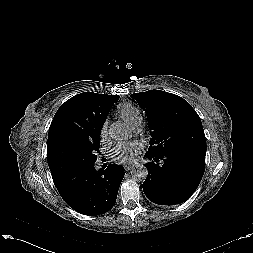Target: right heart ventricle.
<instances>
[{
  "label": "right heart ventricle",
  "mask_w": 253,
  "mask_h": 253,
  "mask_svg": "<svg viewBox=\"0 0 253 253\" xmlns=\"http://www.w3.org/2000/svg\"><path fill=\"white\" fill-rule=\"evenodd\" d=\"M117 114L131 127L139 125L142 121L141 111L130 103L121 104L118 107Z\"/></svg>",
  "instance_id": "e07e8e85"
}]
</instances>
